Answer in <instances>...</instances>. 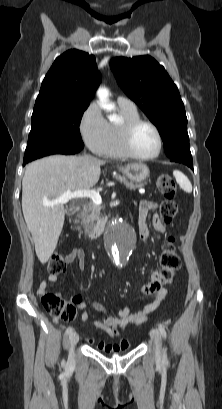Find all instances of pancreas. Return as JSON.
Returning a JSON list of instances; mask_svg holds the SVG:
<instances>
[{"label":"pancreas","instance_id":"obj_1","mask_svg":"<svg viewBox=\"0 0 222 409\" xmlns=\"http://www.w3.org/2000/svg\"><path fill=\"white\" fill-rule=\"evenodd\" d=\"M115 179L124 182L125 185L131 189L141 188L144 186V184H133L132 182H128L127 179L121 175H116ZM100 211L101 208L93 202H88L84 205L83 210L78 217L81 220L80 224L84 228L85 235L89 237H93L95 235L94 229L96 222L100 219ZM81 233L82 231H80V234Z\"/></svg>","mask_w":222,"mask_h":409}]
</instances>
